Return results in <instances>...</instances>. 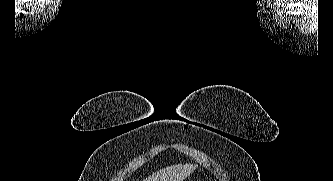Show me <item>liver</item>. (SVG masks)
<instances>
[{
	"instance_id": "obj_1",
	"label": "liver",
	"mask_w": 333,
	"mask_h": 181,
	"mask_svg": "<svg viewBox=\"0 0 333 181\" xmlns=\"http://www.w3.org/2000/svg\"><path fill=\"white\" fill-rule=\"evenodd\" d=\"M195 168L196 165L192 164L171 165L160 169L143 181H183L195 170Z\"/></svg>"
}]
</instances>
